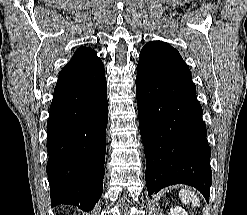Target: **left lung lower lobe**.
<instances>
[{"label":"left lung lower lobe","instance_id":"1","mask_svg":"<svg viewBox=\"0 0 247 215\" xmlns=\"http://www.w3.org/2000/svg\"><path fill=\"white\" fill-rule=\"evenodd\" d=\"M136 91L148 194L187 184L209 200L211 150L191 72L179 52L151 41L141 50Z\"/></svg>","mask_w":247,"mask_h":215}]
</instances>
